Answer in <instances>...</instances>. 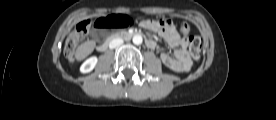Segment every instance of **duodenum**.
Returning <instances> with one entry per match:
<instances>
[{
	"label": "duodenum",
	"instance_id": "410a0bca",
	"mask_svg": "<svg viewBox=\"0 0 276 120\" xmlns=\"http://www.w3.org/2000/svg\"><path fill=\"white\" fill-rule=\"evenodd\" d=\"M138 35L139 34L136 32H128V31L117 32V33L113 34L111 37H109L106 41L99 44L98 48H99V50H105L108 48L109 44L115 40H118V39L128 40V39H131ZM146 44L147 45L149 44L148 39L146 40Z\"/></svg>",
	"mask_w": 276,
	"mask_h": 120
}]
</instances>
